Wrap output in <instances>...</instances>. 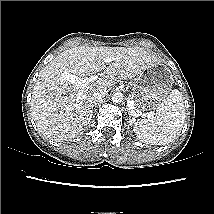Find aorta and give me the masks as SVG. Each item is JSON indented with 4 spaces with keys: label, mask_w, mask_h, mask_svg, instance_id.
Segmentation results:
<instances>
[{
    "label": "aorta",
    "mask_w": 214,
    "mask_h": 214,
    "mask_svg": "<svg viewBox=\"0 0 214 214\" xmlns=\"http://www.w3.org/2000/svg\"><path fill=\"white\" fill-rule=\"evenodd\" d=\"M122 100H123V94L122 93L116 92L113 94L112 101L114 103H120V102H122Z\"/></svg>",
    "instance_id": "1"
}]
</instances>
